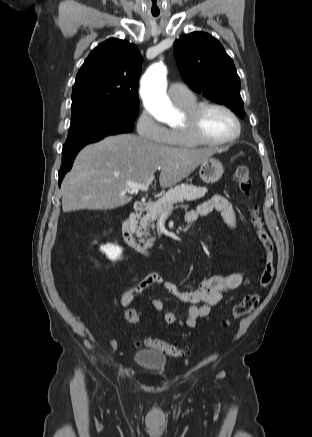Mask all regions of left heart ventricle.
<instances>
[{"mask_svg":"<svg viewBox=\"0 0 312 437\" xmlns=\"http://www.w3.org/2000/svg\"><path fill=\"white\" fill-rule=\"evenodd\" d=\"M201 130L208 139L221 140L234 133L235 123L226 112L212 108L207 110L202 116Z\"/></svg>","mask_w":312,"mask_h":437,"instance_id":"left-heart-ventricle-1","label":"left heart ventricle"}]
</instances>
